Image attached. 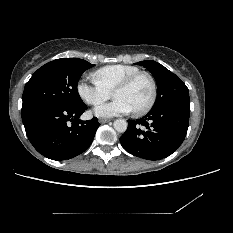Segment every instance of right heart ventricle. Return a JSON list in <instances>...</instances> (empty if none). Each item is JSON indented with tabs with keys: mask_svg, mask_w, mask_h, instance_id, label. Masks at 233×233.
Instances as JSON below:
<instances>
[{
	"mask_svg": "<svg viewBox=\"0 0 233 233\" xmlns=\"http://www.w3.org/2000/svg\"><path fill=\"white\" fill-rule=\"evenodd\" d=\"M139 71V68L136 66L114 64L98 69L92 74V78L111 92L123 79Z\"/></svg>",
	"mask_w": 233,
	"mask_h": 233,
	"instance_id": "right-heart-ventricle-1",
	"label": "right heart ventricle"
}]
</instances>
